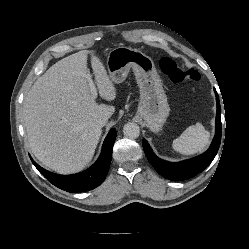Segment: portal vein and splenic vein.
<instances>
[{
  "label": "portal vein and splenic vein",
  "mask_w": 249,
  "mask_h": 249,
  "mask_svg": "<svg viewBox=\"0 0 249 249\" xmlns=\"http://www.w3.org/2000/svg\"><path fill=\"white\" fill-rule=\"evenodd\" d=\"M89 87H90V92H91L92 98L95 99L97 97V89H96V86L92 80H90V82H89Z\"/></svg>",
  "instance_id": "portal-vein-and-splenic-vein-1"
}]
</instances>
